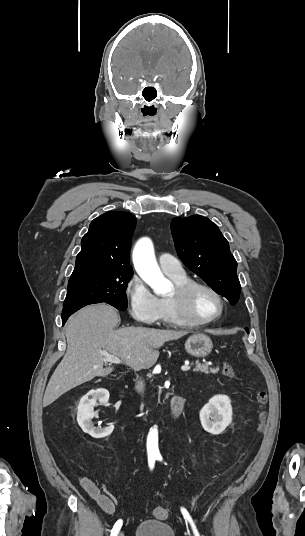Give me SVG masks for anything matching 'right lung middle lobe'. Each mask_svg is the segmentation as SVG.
Listing matches in <instances>:
<instances>
[{
    "label": "right lung middle lobe",
    "mask_w": 305,
    "mask_h": 536,
    "mask_svg": "<svg viewBox=\"0 0 305 536\" xmlns=\"http://www.w3.org/2000/svg\"><path fill=\"white\" fill-rule=\"evenodd\" d=\"M133 273H94L71 277L63 307L105 302L117 309L127 308L125 293Z\"/></svg>",
    "instance_id": "1"
}]
</instances>
